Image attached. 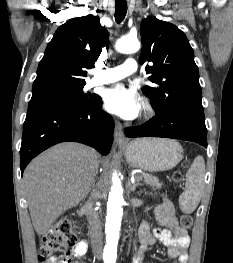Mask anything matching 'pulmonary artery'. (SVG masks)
I'll return each mask as SVG.
<instances>
[{
    "label": "pulmonary artery",
    "mask_w": 233,
    "mask_h": 263,
    "mask_svg": "<svg viewBox=\"0 0 233 263\" xmlns=\"http://www.w3.org/2000/svg\"><path fill=\"white\" fill-rule=\"evenodd\" d=\"M138 65L135 59L127 58L122 65L98 70L89 82V86H98L119 81L137 71Z\"/></svg>",
    "instance_id": "1"
}]
</instances>
